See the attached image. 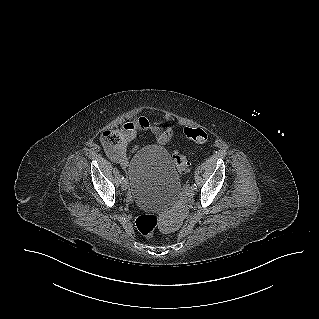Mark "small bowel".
<instances>
[{"label":"small bowel","mask_w":319,"mask_h":319,"mask_svg":"<svg viewBox=\"0 0 319 319\" xmlns=\"http://www.w3.org/2000/svg\"><path fill=\"white\" fill-rule=\"evenodd\" d=\"M142 132L153 134L161 144L168 143L175 136L171 127H163L157 121L146 117H137L128 123L116 122L102 134L107 156L122 168H126L130 157L128 145Z\"/></svg>","instance_id":"small-bowel-1"}]
</instances>
